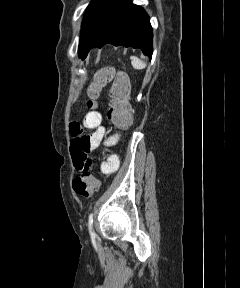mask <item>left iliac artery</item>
<instances>
[{"instance_id":"left-iliac-artery-1","label":"left iliac artery","mask_w":240,"mask_h":288,"mask_svg":"<svg viewBox=\"0 0 240 288\" xmlns=\"http://www.w3.org/2000/svg\"><path fill=\"white\" fill-rule=\"evenodd\" d=\"M88 229H89V233H90L91 237L94 238L95 232L93 230V213H90L89 217H88Z\"/></svg>"}]
</instances>
